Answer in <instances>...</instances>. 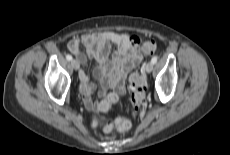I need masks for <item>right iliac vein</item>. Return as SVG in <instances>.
I'll list each match as a JSON object with an SVG mask.
<instances>
[{
    "instance_id": "right-iliac-vein-1",
    "label": "right iliac vein",
    "mask_w": 230,
    "mask_h": 155,
    "mask_svg": "<svg viewBox=\"0 0 230 155\" xmlns=\"http://www.w3.org/2000/svg\"><path fill=\"white\" fill-rule=\"evenodd\" d=\"M71 65L75 70L80 68L79 62L76 59L71 60Z\"/></svg>"
}]
</instances>
